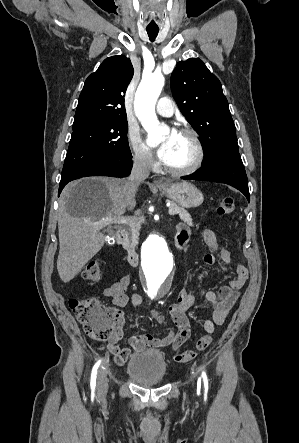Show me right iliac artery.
Masks as SVG:
<instances>
[{"label": "right iliac artery", "mask_w": 299, "mask_h": 443, "mask_svg": "<svg viewBox=\"0 0 299 443\" xmlns=\"http://www.w3.org/2000/svg\"><path fill=\"white\" fill-rule=\"evenodd\" d=\"M101 363V360H98L95 365L93 366L92 372H91V380H90V386L91 390L94 392L96 387V378H97V370L99 368V365Z\"/></svg>", "instance_id": "right-iliac-artery-1"}]
</instances>
